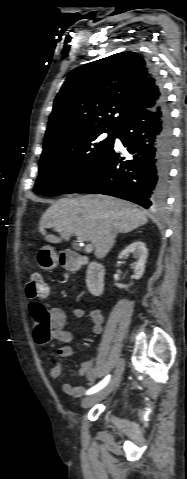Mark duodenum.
<instances>
[{
	"mask_svg": "<svg viewBox=\"0 0 187 479\" xmlns=\"http://www.w3.org/2000/svg\"><path fill=\"white\" fill-rule=\"evenodd\" d=\"M83 261L72 255H64L63 265L68 270H76L81 267ZM105 272L100 263H92L88 266L86 286L88 291L94 295H100L104 289Z\"/></svg>",
	"mask_w": 187,
	"mask_h": 479,
	"instance_id": "410a0bca",
	"label": "duodenum"
}]
</instances>
